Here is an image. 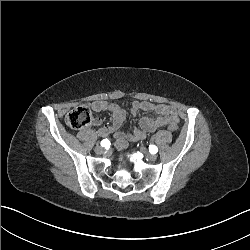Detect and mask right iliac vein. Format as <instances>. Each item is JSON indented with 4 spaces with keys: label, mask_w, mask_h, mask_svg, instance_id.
Here are the masks:
<instances>
[{
    "label": "right iliac vein",
    "mask_w": 250,
    "mask_h": 250,
    "mask_svg": "<svg viewBox=\"0 0 250 250\" xmlns=\"http://www.w3.org/2000/svg\"><path fill=\"white\" fill-rule=\"evenodd\" d=\"M95 152H96L97 154H101V153L104 152V148H103L102 146H96Z\"/></svg>",
    "instance_id": "1"
}]
</instances>
